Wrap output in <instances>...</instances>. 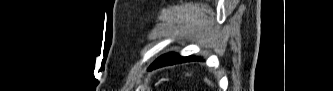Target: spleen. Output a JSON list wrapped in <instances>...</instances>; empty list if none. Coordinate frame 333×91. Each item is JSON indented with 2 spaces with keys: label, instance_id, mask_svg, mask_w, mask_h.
<instances>
[{
  "label": "spleen",
  "instance_id": "obj_1",
  "mask_svg": "<svg viewBox=\"0 0 333 91\" xmlns=\"http://www.w3.org/2000/svg\"><path fill=\"white\" fill-rule=\"evenodd\" d=\"M205 82H206L208 85L214 86L213 82H211V81L208 80L207 78H205Z\"/></svg>",
  "mask_w": 333,
  "mask_h": 91
}]
</instances>
